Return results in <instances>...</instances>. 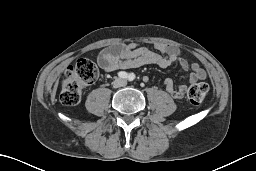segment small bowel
Instances as JSON below:
<instances>
[{"mask_svg":"<svg viewBox=\"0 0 256 171\" xmlns=\"http://www.w3.org/2000/svg\"><path fill=\"white\" fill-rule=\"evenodd\" d=\"M97 61L100 68L107 73L120 68L136 69L147 65L166 69L174 62H179L185 71H189L187 82L190 85L206 79L207 76L197 63H190L181 56L177 47L161 42L153 44V49L137 43L113 44L99 54ZM163 84L166 93L174 99L184 97L187 90V84L181 83L175 87L171 79H165Z\"/></svg>","mask_w":256,"mask_h":171,"instance_id":"small-bowel-1","label":"small bowel"}]
</instances>
